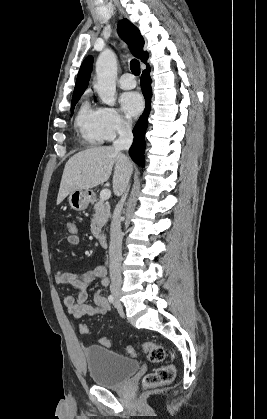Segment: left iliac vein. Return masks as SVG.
<instances>
[{
	"label": "left iliac vein",
	"instance_id": "obj_1",
	"mask_svg": "<svg viewBox=\"0 0 267 419\" xmlns=\"http://www.w3.org/2000/svg\"><path fill=\"white\" fill-rule=\"evenodd\" d=\"M119 306H120V305H119V303H118V302H116V303H115V307H117V308H118Z\"/></svg>",
	"mask_w": 267,
	"mask_h": 419
}]
</instances>
